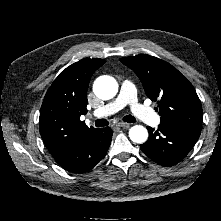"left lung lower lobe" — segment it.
<instances>
[{
    "label": "left lung lower lobe",
    "mask_w": 221,
    "mask_h": 221,
    "mask_svg": "<svg viewBox=\"0 0 221 221\" xmlns=\"http://www.w3.org/2000/svg\"><path fill=\"white\" fill-rule=\"evenodd\" d=\"M149 139L140 145L153 161L163 166L174 165L189 153L198 140L201 129L160 124L157 130L147 127Z\"/></svg>",
    "instance_id": "1"
}]
</instances>
